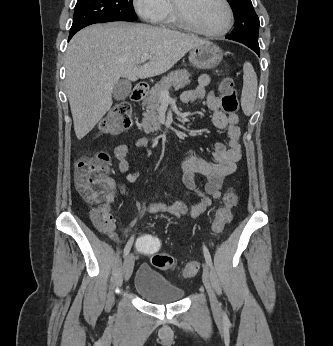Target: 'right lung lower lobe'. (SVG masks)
I'll list each match as a JSON object with an SVG mask.
<instances>
[{"instance_id":"1","label":"right lung lower lobe","mask_w":333,"mask_h":346,"mask_svg":"<svg viewBox=\"0 0 333 346\" xmlns=\"http://www.w3.org/2000/svg\"><path fill=\"white\" fill-rule=\"evenodd\" d=\"M74 34H75V33H70V34H69V40L73 37Z\"/></svg>"}]
</instances>
